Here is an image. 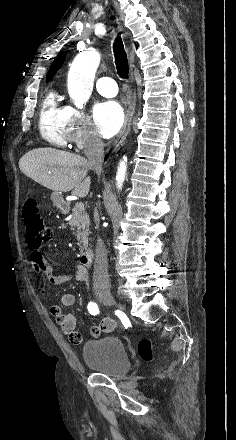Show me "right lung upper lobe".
Segmentation results:
<instances>
[{
  "label": "right lung upper lobe",
  "mask_w": 236,
  "mask_h": 440,
  "mask_svg": "<svg viewBox=\"0 0 236 440\" xmlns=\"http://www.w3.org/2000/svg\"><path fill=\"white\" fill-rule=\"evenodd\" d=\"M65 56H66V52H62L55 58V60L53 61L52 65L47 73V76H46L47 82L49 80H51V78L55 75L57 70L61 67V65L64 62Z\"/></svg>",
  "instance_id": "obj_1"
}]
</instances>
